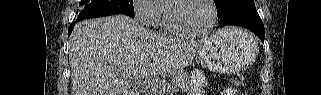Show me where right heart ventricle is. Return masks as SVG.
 <instances>
[{"label": "right heart ventricle", "instance_id": "obj_1", "mask_svg": "<svg viewBox=\"0 0 321 95\" xmlns=\"http://www.w3.org/2000/svg\"><path fill=\"white\" fill-rule=\"evenodd\" d=\"M170 1H164V3L160 4V15L154 22L156 26H162L164 28H167L166 24V7Z\"/></svg>", "mask_w": 321, "mask_h": 95}]
</instances>
